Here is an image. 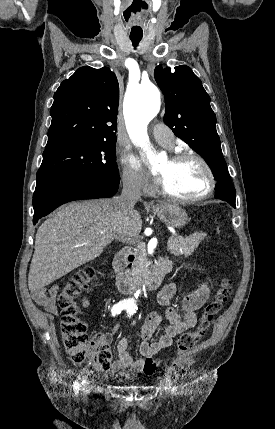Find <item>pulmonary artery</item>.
Listing matches in <instances>:
<instances>
[{
    "label": "pulmonary artery",
    "mask_w": 275,
    "mask_h": 429,
    "mask_svg": "<svg viewBox=\"0 0 275 429\" xmlns=\"http://www.w3.org/2000/svg\"><path fill=\"white\" fill-rule=\"evenodd\" d=\"M153 136L156 141L164 147L172 148L174 145L173 133L168 128L162 126L154 127Z\"/></svg>",
    "instance_id": "pulmonary-artery-1"
}]
</instances>
